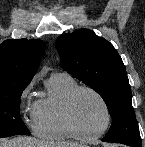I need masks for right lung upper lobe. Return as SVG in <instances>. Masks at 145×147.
Returning <instances> with one entry per match:
<instances>
[{
	"label": "right lung upper lobe",
	"mask_w": 145,
	"mask_h": 147,
	"mask_svg": "<svg viewBox=\"0 0 145 147\" xmlns=\"http://www.w3.org/2000/svg\"><path fill=\"white\" fill-rule=\"evenodd\" d=\"M45 43L36 39L6 40L0 44V92L27 86L32 80Z\"/></svg>",
	"instance_id": "1"
}]
</instances>
